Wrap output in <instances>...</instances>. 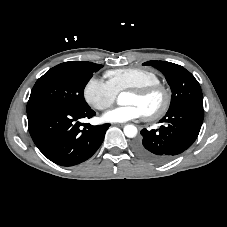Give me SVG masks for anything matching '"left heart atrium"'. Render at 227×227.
Instances as JSON below:
<instances>
[{"label": "left heart atrium", "instance_id": "obj_1", "mask_svg": "<svg viewBox=\"0 0 227 227\" xmlns=\"http://www.w3.org/2000/svg\"><path fill=\"white\" fill-rule=\"evenodd\" d=\"M144 116L142 110L133 104L119 106L107 111L103 119L107 122L122 123Z\"/></svg>", "mask_w": 227, "mask_h": 227}]
</instances>
